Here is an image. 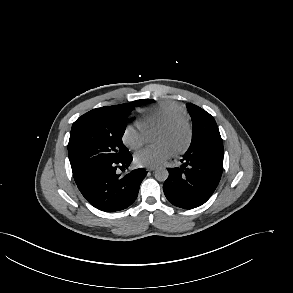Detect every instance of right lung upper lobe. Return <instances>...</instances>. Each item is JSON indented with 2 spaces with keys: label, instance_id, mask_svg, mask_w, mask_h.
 <instances>
[{
  "label": "right lung upper lobe",
  "instance_id": "1",
  "mask_svg": "<svg viewBox=\"0 0 293 293\" xmlns=\"http://www.w3.org/2000/svg\"><path fill=\"white\" fill-rule=\"evenodd\" d=\"M75 180H78L79 178H74Z\"/></svg>",
  "mask_w": 293,
  "mask_h": 293
}]
</instances>
